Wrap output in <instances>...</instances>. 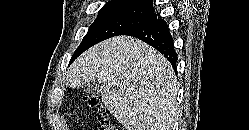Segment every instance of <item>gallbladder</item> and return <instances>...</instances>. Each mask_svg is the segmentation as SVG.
<instances>
[{
	"label": "gallbladder",
	"mask_w": 249,
	"mask_h": 130,
	"mask_svg": "<svg viewBox=\"0 0 249 130\" xmlns=\"http://www.w3.org/2000/svg\"><path fill=\"white\" fill-rule=\"evenodd\" d=\"M84 92L87 96L98 98L102 96V87L98 81H92L84 86Z\"/></svg>",
	"instance_id": "gallbladder-1"
}]
</instances>
